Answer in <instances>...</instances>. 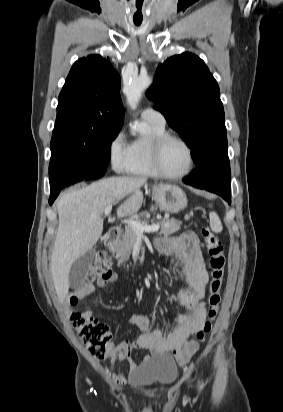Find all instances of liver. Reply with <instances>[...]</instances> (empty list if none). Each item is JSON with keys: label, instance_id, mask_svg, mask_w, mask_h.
<instances>
[{"label": "liver", "instance_id": "liver-1", "mask_svg": "<svg viewBox=\"0 0 283 412\" xmlns=\"http://www.w3.org/2000/svg\"><path fill=\"white\" fill-rule=\"evenodd\" d=\"M142 177H111L65 193L57 202L59 226L51 257V272L59 300L69 291L72 264L97 243L103 231L105 208L127 198L118 217L135 214L143 202Z\"/></svg>", "mask_w": 283, "mask_h": 412}]
</instances>
